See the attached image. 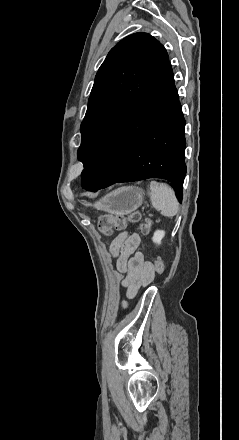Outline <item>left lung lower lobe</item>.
Segmentation results:
<instances>
[{
	"instance_id": "obj_1",
	"label": "left lung lower lobe",
	"mask_w": 239,
	"mask_h": 440,
	"mask_svg": "<svg viewBox=\"0 0 239 440\" xmlns=\"http://www.w3.org/2000/svg\"><path fill=\"white\" fill-rule=\"evenodd\" d=\"M185 119L170 62L107 133L81 174L84 189L151 177L171 181L182 200Z\"/></svg>"
}]
</instances>
